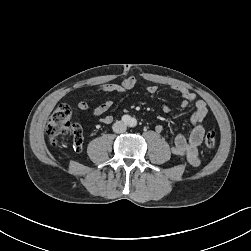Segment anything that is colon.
Here are the masks:
<instances>
[{"label":"colon","instance_id":"5ec220e1","mask_svg":"<svg viewBox=\"0 0 251 251\" xmlns=\"http://www.w3.org/2000/svg\"><path fill=\"white\" fill-rule=\"evenodd\" d=\"M65 134H73L74 144L80 145L83 141L80 127L72 121V110L67 104L58 105L50 116L47 125V135L50 143L58 144L59 138ZM217 136L215 131L210 130L205 135V145L213 148L216 145Z\"/></svg>","mask_w":251,"mask_h":251}]
</instances>
